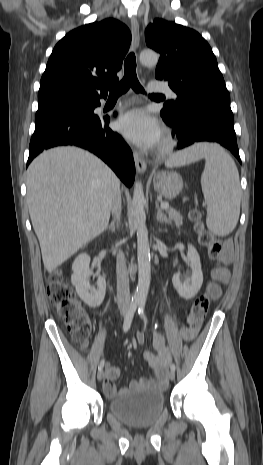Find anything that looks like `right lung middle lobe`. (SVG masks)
Returning a JSON list of instances; mask_svg holds the SVG:
<instances>
[{"instance_id":"dd1d6c3e","label":"right lung middle lobe","mask_w":263,"mask_h":465,"mask_svg":"<svg viewBox=\"0 0 263 465\" xmlns=\"http://www.w3.org/2000/svg\"><path fill=\"white\" fill-rule=\"evenodd\" d=\"M96 102V99L84 98V97H56L42 101H38V111L36 115H40L49 111L55 110H81L87 111L91 109Z\"/></svg>"}]
</instances>
